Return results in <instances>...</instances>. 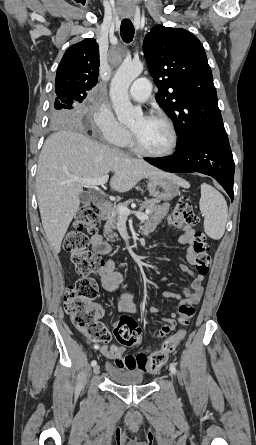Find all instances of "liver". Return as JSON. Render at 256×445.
Here are the masks:
<instances>
[{"mask_svg": "<svg viewBox=\"0 0 256 445\" xmlns=\"http://www.w3.org/2000/svg\"><path fill=\"white\" fill-rule=\"evenodd\" d=\"M112 172L110 187L117 192L131 190L143 178L170 176L181 186L185 182L143 160L100 145L72 129L59 130L45 141L36 174L37 200L46 237L59 253L61 242L79 209L84 184L72 177L100 178Z\"/></svg>", "mask_w": 256, "mask_h": 445, "instance_id": "6515ba94", "label": "liver"}]
</instances>
